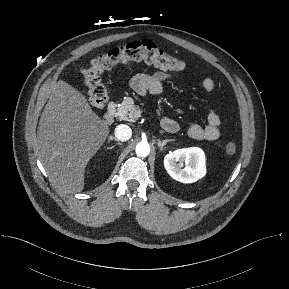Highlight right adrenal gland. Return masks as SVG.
<instances>
[{
    "label": "right adrenal gland",
    "instance_id": "1",
    "mask_svg": "<svg viewBox=\"0 0 289 289\" xmlns=\"http://www.w3.org/2000/svg\"><path fill=\"white\" fill-rule=\"evenodd\" d=\"M113 140L116 141V144H117V145H119V146L122 145V143L118 142V140H117L115 137H112V136L109 137L108 143H110V142L113 141Z\"/></svg>",
    "mask_w": 289,
    "mask_h": 289
}]
</instances>
